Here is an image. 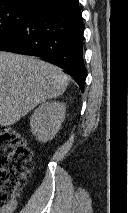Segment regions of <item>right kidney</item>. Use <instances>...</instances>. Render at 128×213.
I'll list each match as a JSON object with an SVG mask.
<instances>
[{
	"label": "right kidney",
	"mask_w": 128,
	"mask_h": 213,
	"mask_svg": "<svg viewBox=\"0 0 128 213\" xmlns=\"http://www.w3.org/2000/svg\"><path fill=\"white\" fill-rule=\"evenodd\" d=\"M66 107L64 103L51 101L42 103L32 114L30 127L41 142L51 140L60 130Z\"/></svg>",
	"instance_id": "right-kidney-1"
}]
</instances>
